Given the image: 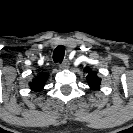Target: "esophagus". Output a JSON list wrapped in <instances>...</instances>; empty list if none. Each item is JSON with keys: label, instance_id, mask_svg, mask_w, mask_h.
Listing matches in <instances>:
<instances>
[{"label": "esophagus", "instance_id": "34e87169", "mask_svg": "<svg viewBox=\"0 0 133 133\" xmlns=\"http://www.w3.org/2000/svg\"><path fill=\"white\" fill-rule=\"evenodd\" d=\"M59 66L61 69H66L69 67V61L65 59Z\"/></svg>", "mask_w": 133, "mask_h": 133}]
</instances>
